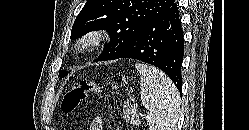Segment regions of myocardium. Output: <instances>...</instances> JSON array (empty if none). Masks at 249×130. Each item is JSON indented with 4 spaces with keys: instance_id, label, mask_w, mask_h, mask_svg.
Returning a JSON list of instances; mask_svg holds the SVG:
<instances>
[{
    "instance_id": "f54148a6",
    "label": "myocardium",
    "mask_w": 249,
    "mask_h": 130,
    "mask_svg": "<svg viewBox=\"0 0 249 130\" xmlns=\"http://www.w3.org/2000/svg\"><path fill=\"white\" fill-rule=\"evenodd\" d=\"M110 34L105 29H93L81 36L74 44L77 53H84L88 50L101 46L108 41Z\"/></svg>"
}]
</instances>
